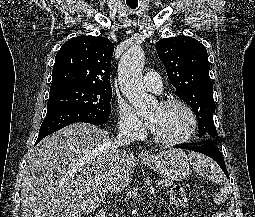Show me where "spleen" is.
I'll list each match as a JSON object with an SVG mask.
<instances>
[{"label":"spleen","mask_w":255,"mask_h":217,"mask_svg":"<svg viewBox=\"0 0 255 217\" xmlns=\"http://www.w3.org/2000/svg\"><path fill=\"white\" fill-rule=\"evenodd\" d=\"M190 160L191 165L196 173L200 174L201 176L208 177L216 182H222V172L215 162L200 154H191ZM229 193L230 187L225 184L218 194V201L223 203L227 199Z\"/></svg>","instance_id":"spleen-1"}]
</instances>
